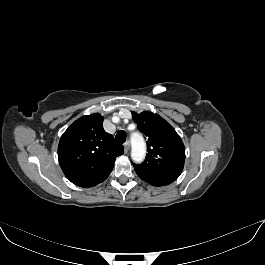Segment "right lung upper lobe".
<instances>
[{"instance_id":"1","label":"right lung upper lobe","mask_w":265,"mask_h":265,"mask_svg":"<svg viewBox=\"0 0 265 265\" xmlns=\"http://www.w3.org/2000/svg\"><path fill=\"white\" fill-rule=\"evenodd\" d=\"M103 117L94 113L73 122L60 138L58 159L65 176L75 185L88 188L107 179L121 144L103 129Z\"/></svg>"}]
</instances>
